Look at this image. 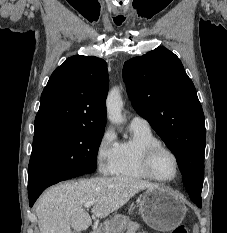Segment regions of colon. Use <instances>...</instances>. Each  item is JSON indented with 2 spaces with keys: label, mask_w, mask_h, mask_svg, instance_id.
<instances>
[{
  "label": "colon",
  "mask_w": 227,
  "mask_h": 233,
  "mask_svg": "<svg viewBox=\"0 0 227 233\" xmlns=\"http://www.w3.org/2000/svg\"><path fill=\"white\" fill-rule=\"evenodd\" d=\"M170 233H188V230L186 226L181 225L172 230Z\"/></svg>",
  "instance_id": "1"
}]
</instances>
